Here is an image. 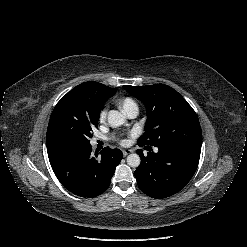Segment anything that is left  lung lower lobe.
Instances as JSON below:
<instances>
[{
	"label": "left lung lower lobe",
	"mask_w": 247,
	"mask_h": 247,
	"mask_svg": "<svg viewBox=\"0 0 247 247\" xmlns=\"http://www.w3.org/2000/svg\"><path fill=\"white\" fill-rule=\"evenodd\" d=\"M145 149L152 150L149 145ZM156 149V153L149 152L147 156L143 150H137L141 163L134 175L143 193L162 199L176 194L190 181L197 169L201 148L167 146Z\"/></svg>",
	"instance_id": "obj_1"
}]
</instances>
